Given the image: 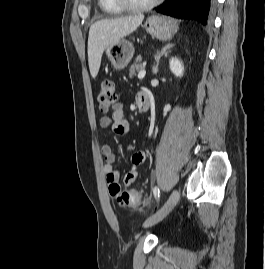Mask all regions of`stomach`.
Returning a JSON list of instances; mask_svg holds the SVG:
<instances>
[{
    "mask_svg": "<svg viewBox=\"0 0 265 269\" xmlns=\"http://www.w3.org/2000/svg\"><path fill=\"white\" fill-rule=\"evenodd\" d=\"M145 29L150 35L157 39L169 40L177 32L178 27L172 19L155 15L147 19ZM106 55L110 59L113 67L117 70H121L131 61L134 55V47L129 41L121 39L106 49Z\"/></svg>",
    "mask_w": 265,
    "mask_h": 269,
    "instance_id": "1",
    "label": "stomach"
}]
</instances>
